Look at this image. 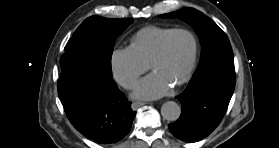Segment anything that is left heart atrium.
<instances>
[{"label":"left heart atrium","instance_id":"39dd6f15","mask_svg":"<svg viewBox=\"0 0 279 148\" xmlns=\"http://www.w3.org/2000/svg\"><path fill=\"white\" fill-rule=\"evenodd\" d=\"M172 83L158 74L152 73L137 83L133 96L140 99H157L168 95Z\"/></svg>","mask_w":279,"mask_h":148}]
</instances>
